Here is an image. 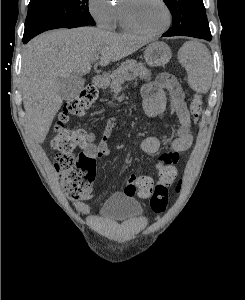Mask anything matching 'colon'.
Returning a JSON list of instances; mask_svg holds the SVG:
<instances>
[{"label": "colon", "mask_w": 245, "mask_h": 300, "mask_svg": "<svg viewBox=\"0 0 245 300\" xmlns=\"http://www.w3.org/2000/svg\"><path fill=\"white\" fill-rule=\"evenodd\" d=\"M98 91L93 85L85 86L81 92L70 99L64 111L55 125V135L51 139V147L59 152L55 159V167L62 179L63 187L70 198L81 197L90 187L96 172V160L80 153L73 155L76 147L83 146L86 142L84 130H71L68 128L70 116H81L86 113L89 107L97 99ZM191 114L195 122L201 114V99L194 96L191 102ZM180 189V184L177 190ZM136 190L139 196L150 198V206L156 213L166 210L168 201V188L155 190L152 179L148 176H141L136 183Z\"/></svg>", "instance_id": "1"}]
</instances>
